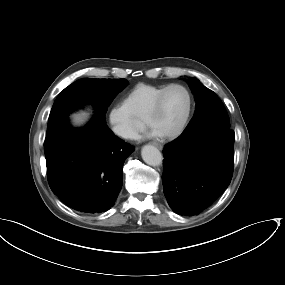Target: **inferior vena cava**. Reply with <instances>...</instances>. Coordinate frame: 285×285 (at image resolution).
<instances>
[{
  "label": "inferior vena cava",
  "instance_id": "602c4592",
  "mask_svg": "<svg viewBox=\"0 0 285 285\" xmlns=\"http://www.w3.org/2000/svg\"><path fill=\"white\" fill-rule=\"evenodd\" d=\"M117 133L123 138H135L137 136V133L132 128L126 126H119Z\"/></svg>",
  "mask_w": 285,
  "mask_h": 285
}]
</instances>
